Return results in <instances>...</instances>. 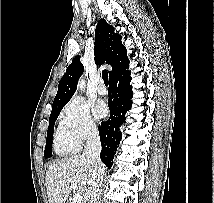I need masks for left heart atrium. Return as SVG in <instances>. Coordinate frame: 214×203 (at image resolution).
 Instances as JSON below:
<instances>
[{
  "instance_id": "left-heart-atrium-1",
  "label": "left heart atrium",
  "mask_w": 214,
  "mask_h": 203,
  "mask_svg": "<svg viewBox=\"0 0 214 203\" xmlns=\"http://www.w3.org/2000/svg\"><path fill=\"white\" fill-rule=\"evenodd\" d=\"M94 114L97 118H103L107 114V106L104 102L100 101L94 106Z\"/></svg>"
}]
</instances>
